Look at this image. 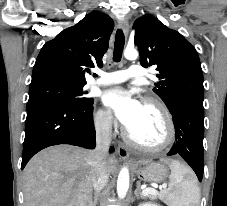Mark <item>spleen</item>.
<instances>
[{"label":"spleen","instance_id":"3e777b00","mask_svg":"<svg viewBox=\"0 0 227 206\" xmlns=\"http://www.w3.org/2000/svg\"><path fill=\"white\" fill-rule=\"evenodd\" d=\"M171 169L169 188L162 194L168 206H198L200 189L190 170L176 160L162 159Z\"/></svg>","mask_w":227,"mask_h":206}]
</instances>
